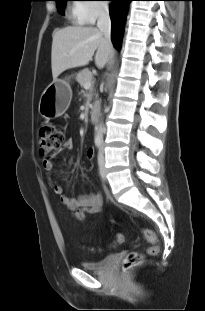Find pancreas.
Segmentation results:
<instances>
[{"label": "pancreas", "instance_id": "pancreas-1", "mask_svg": "<svg viewBox=\"0 0 205 311\" xmlns=\"http://www.w3.org/2000/svg\"><path fill=\"white\" fill-rule=\"evenodd\" d=\"M93 75L89 69H83L76 75V81L84 87L85 83L91 81Z\"/></svg>", "mask_w": 205, "mask_h": 311}]
</instances>
